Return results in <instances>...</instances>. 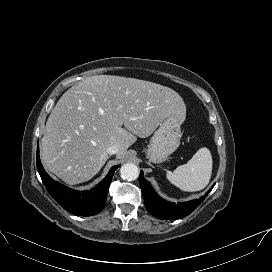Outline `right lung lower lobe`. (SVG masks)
Here are the masks:
<instances>
[{
	"label": "right lung lower lobe",
	"mask_w": 272,
	"mask_h": 272,
	"mask_svg": "<svg viewBox=\"0 0 272 272\" xmlns=\"http://www.w3.org/2000/svg\"><path fill=\"white\" fill-rule=\"evenodd\" d=\"M37 170L43 184L50 195L67 211L80 215L92 216L101 212L105 207L108 189L112 181L115 170L110 169L107 176L93 189L89 191H76L54 181L43 169L37 148Z\"/></svg>",
	"instance_id": "right-lung-lower-lobe-1"
}]
</instances>
